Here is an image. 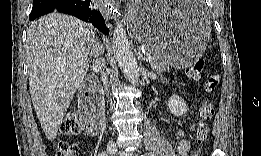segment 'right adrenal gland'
<instances>
[{"label": "right adrenal gland", "instance_id": "1", "mask_svg": "<svg viewBox=\"0 0 261 156\" xmlns=\"http://www.w3.org/2000/svg\"><path fill=\"white\" fill-rule=\"evenodd\" d=\"M104 52L103 46L101 45L99 39L96 37L94 44L92 46L90 56L94 58H98Z\"/></svg>", "mask_w": 261, "mask_h": 156}]
</instances>
